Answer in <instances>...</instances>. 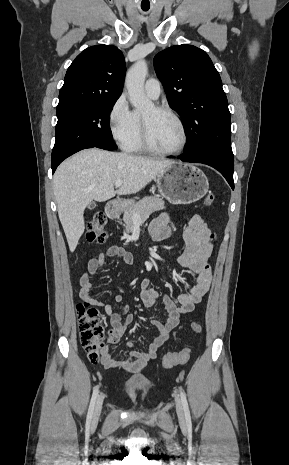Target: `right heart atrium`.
I'll use <instances>...</instances> for the list:
<instances>
[{"label": "right heart atrium", "instance_id": "1", "mask_svg": "<svg viewBox=\"0 0 289 465\" xmlns=\"http://www.w3.org/2000/svg\"><path fill=\"white\" fill-rule=\"evenodd\" d=\"M108 126L112 138L120 146H124L135 133L138 121L124 95H120L111 106L108 114Z\"/></svg>", "mask_w": 289, "mask_h": 465}]
</instances>
